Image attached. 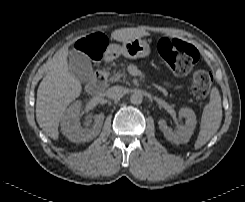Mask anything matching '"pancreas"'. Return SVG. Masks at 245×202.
I'll return each mask as SVG.
<instances>
[{"mask_svg":"<svg viewBox=\"0 0 245 202\" xmlns=\"http://www.w3.org/2000/svg\"><path fill=\"white\" fill-rule=\"evenodd\" d=\"M126 73H125V69L124 66L122 65V68L119 69L118 71H114L113 75L110 77V81L111 82H118L121 81V78H123V81L126 80Z\"/></svg>","mask_w":245,"mask_h":202,"instance_id":"pancreas-1","label":"pancreas"}]
</instances>
